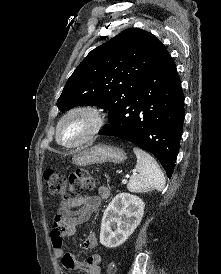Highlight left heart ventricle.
I'll use <instances>...</instances> for the list:
<instances>
[{
  "mask_svg": "<svg viewBox=\"0 0 221 274\" xmlns=\"http://www.w3.org/2000/svg\"><path fill=\"white\" fill-rule=\"evenodd\" d=\"M89 128V122L82 116H74L67 120L61 129V139L64 142L78 140Z\"/></svg>",
  "mask_w": 221,
  "mask_h": 274,
  "instance_id": "1",
  "label": "left heart ventricle"
}]
</instances>
